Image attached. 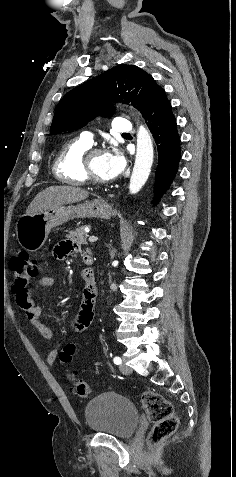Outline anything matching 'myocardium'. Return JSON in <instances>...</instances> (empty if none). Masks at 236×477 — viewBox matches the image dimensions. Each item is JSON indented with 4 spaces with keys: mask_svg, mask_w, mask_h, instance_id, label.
<instances>
[{
    "mask_svg": "<svg viewBox=\"0 0 236 477\" xmlns=\"http://www.w3.org/2000/svg\"><path fill=\"white\" fill-rule=\"evenodd\" d=\"M101 153H104V150L101 149V148H93V149L88 150L85 153V155L83 156L82 164H81L85 182H88V183L96 185V186H106V185L111 183L110 180H103V179L96 178L90 170V167H89L90 159L93 156H95L97 154H101Z\"/></svg>",
    "mask_w": 236,
    "mask_h": 477,
    "instance_id": "myocardium-1",
    "label": "myocardium"
}]
</instances>
